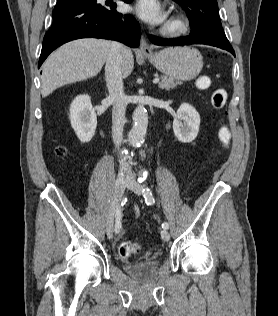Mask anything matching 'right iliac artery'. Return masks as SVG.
<instances>
[{"instance_id": "right-iliac-artery-1", "label": "right iliac artery", "mask_w": 278, "mask_h": 316, "mask_svg": "<svg viewBox=\"0 0 278 316\" xmlns=\"http://www.w3.org/2000/svg\"><path fill=\"white\" fill-rule=\"evenodd\" d=\"M115 218H116V221H115V232L119 233L120 230H121V227H122V225H121V208H120V206L116 207Z\"/></svg>"}]
</instances>
